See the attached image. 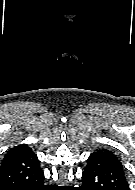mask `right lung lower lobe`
Here are the masks:
<instances>
[{
	"label": "right lung lower lobe",
	"instance_id": "obj_1",
	"mask_svg": "<svg viewBox=\"0 0 135 190\" xmlns=\"http://www.w3.org/2000/svg\"><path fill=\"white\" fill-rule=\"evenodd\" d=\"M35 154L5 157L0 165V190H48Z\"/></svg>",
	"mask_w": 135,
	"mask_h": 190
}]
</instances>
